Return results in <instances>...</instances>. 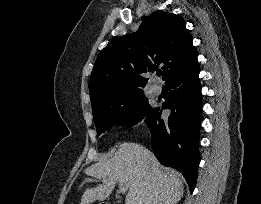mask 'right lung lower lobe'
I'll return each mask as SVG.
<instances>
[{
	"mask_svg": "<svg viewBox=\"0 0 261 204\" xmlns=\"http://www.w3.org/2000/svg\"><path fill=\"white\" fill-rule=\"evenodd\" d=\"M199 63L194 61L167 82L170 99L161 108L151 110L147 125L156 158L167 167L178 169L192 193L200 162L198 152L202 97ZM162 109H170L168 119L161 118Z\"/></svg>",
	"mask_w": 261,
	"mask_h": 204,
	"instance_id": "right-lung-lower-lobe-1",
	"label": "right lung lower lobe"
}]
</instances>
